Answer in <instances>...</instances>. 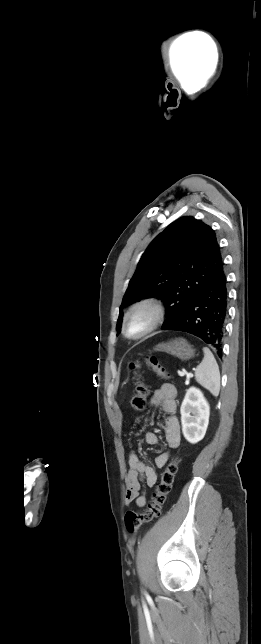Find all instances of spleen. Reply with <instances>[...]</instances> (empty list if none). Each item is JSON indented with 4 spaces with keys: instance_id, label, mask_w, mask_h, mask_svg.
Masks as SVG:
<instances>
[{
    "instance_id": "spleen-1",
    "label": "spleen",
    "mask_w": 261,
    "mask_h": 644,
    "mask_svg": "<svg viewBox=\"0 0 261 644\" xmlns=\"http://www.w3.org/2000/svg\"><path fill=\"white\" fill-rule=\"evenodd\" d=\"M204 358L195 371L196 381L210 391L213 396H218L220 391V372L212 352L204 347Z\"/></svg>"
}]
</instances>
